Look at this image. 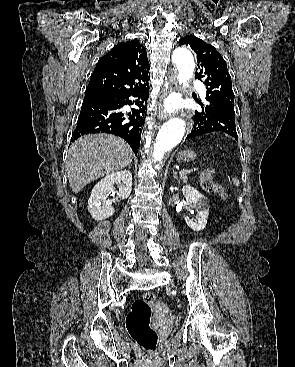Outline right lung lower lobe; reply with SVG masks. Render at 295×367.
<instances>
[{"mask_svg":"<svg viewBox=\"0 0 295 367\" xmlns=\"http://www.w3.org/2000/svg\"><path fill=\"white\" fill-rule=\"evenodd\" d=\"M148 88H141L120 94L85 95L73 141L91 133H111L120 136L138 152L141 132L145 121V106ZM136 97L139 109L122 111V107L133 104L129 97Z\"/></svg>","mask_w":295,"mask_h":367,"instance_id":"98d812e1","label":"right lung lower lobe"}]
</instances>
